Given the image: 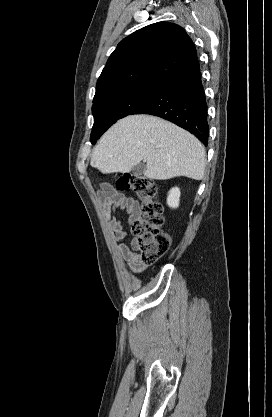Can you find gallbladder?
Here are the masks:
<instances>
[{"mask_svg": "<svg viewBox=\"0 0 272 417\" xmlns=\"http://www.w3.org/2000/svg\"><path fill=\"white\" fill-rule=\"evenodd\" d=\"M145 170L146 165L145 163L141 162L132 168V173L134 176H141L142 174H144Z\"/></svg>", "mask_w": 272, "mask_h": 417, "instance_id": "1", "label": "gallbladder"}]
</instances>
